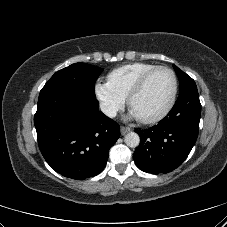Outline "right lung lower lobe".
Masks as SVG:
<instances>
[{
  "mask_svg": "<svg viewBox=\"0 0 227 227\" xmlns=\"http://www.w3.org/2000/svg\"><path fill=\"white\" fill-rule=\"evenodd\" d=\"M34 124L46 162L76 180L99 174L120 136V126L98 110L95 97L67 84L41 90Z\"/></svg>",
  "mask_w": 227,
  "mask_h": 227,
  "instance_id": "1",
  "label": "right lung lower lobe"
}]
</instances>
